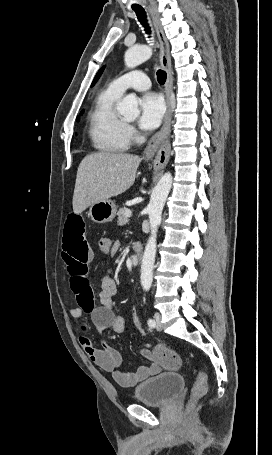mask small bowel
Instances as JSON below:
<instances>
[{
  "label": "small bowel",
  "instance_id": "c3829d8e",
  "mask_svg": "<svg viewBox=\"0 0 272 455\" xmlns=\"http://www.w3.org/2000/svg\"><path fill=\"white\" fill-rule=\"evenodd\" d=\"M121 247L120 242L111 244L109 253L115 255ZM62 258L70 277L71 291L75 295L77 306L70 310V315L76 321H81L85 314H89L98 331L111 329L121 334L125 331V319L114 311L113 297L117 293V284L108 270L101 279L99 305L94 303L93 291L88 277V266L93 259V251L85 237V222L78 214L68 216L64 226L62 238ZM136 327L142 329V324L136 311H133ZM82 333L79 342L88 357L101 369L110 373L113 379L123 387H132L141 381L157 374L161 367L157 363L142 365L136 371H127L120 368L122 356L115 348L104 343L101 349L95 347L87 336L85 326L79 325ZM145 346L140 350L143 358H152V353Z\"/></svg>",
  "mask_w": 272,
  "mask_h": 455
}]
</instances>
